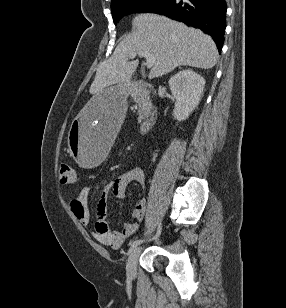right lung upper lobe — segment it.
<instances>
[{
    "label": "right lung upper lobe",
    "mask_w": 286,
    "mask_h": 308,
    "mask_svg": "<svg viewBox=\"0 0 286 308\" xmlns=\"http://www.w3.org/2000/svg\"><path fill=\"white\" fill-rule=\"evenodd\" d=\"M117 1L118 0H112V4L111 5L115 4Z\"/></svg>",
    "instance_id": "right-lung-upper-lobe-1"
}]
</instances>
